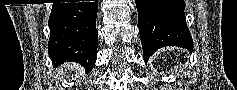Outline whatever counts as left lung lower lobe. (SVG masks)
Masks as SVG:
<instances>
[{
	"label": "left lung lower lobe",
	"mask_w": 237,
	"mask_h": 90,
	"mask_svg": "<svg viewBox=\"0 0 237 90\" xmlns=\"http://www.w3.org/2000/svg\"><path fill=\"white\" fill-rule=\"evenodd\" d=\"M136 6L145 62L164 46L193 50L183 0H136Z\"/></svg>",
	"instance_id": "0a47b994"
}]
</instances>
